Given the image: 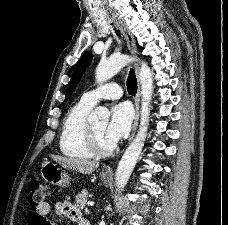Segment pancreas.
Returning <instances> with one entry per match:
<instances>
[{
  "mask_svg": "<svg viewBox=\"0 0 228 225\" xmlns=\"http://www.w3.org/2000/svg\"><path fill=\"white\" fill-rule=\"evenodd\" d=\"M88 199V191L86 189H83L81 193H78L76 195V205L79 207V209H84Z\"/></svg>",
  "mask_w": 228,
  "mask_h": 225,
  "instance_id": "cf45deb5",
  "label": "pancreas"
}]
</instances>
